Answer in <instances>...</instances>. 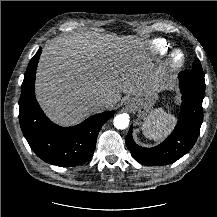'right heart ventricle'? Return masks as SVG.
Segmentation results:
<instances>
[{
	"instance_id": "right-heart-ventricle-1",
	"label": "right heart ventricle",
	"mask_w": 217,
	"mask_h": 217,
	"mask_svg": "<svg viewBox=\"0 0 217 217\" xmlns=\"http://www.w3.org/2000/svg\"><path fill=\"white\" fill-rule=\"evenodd\" d=\"M154 47L157 48L160 53H164L163 43L161 41H156Z\"/></svg>"
}]
</instances>
